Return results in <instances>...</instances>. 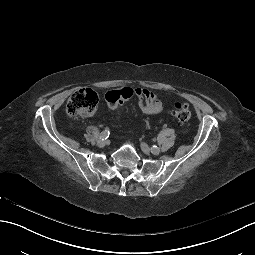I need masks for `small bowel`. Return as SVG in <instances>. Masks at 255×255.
<instances>
[{
  "instance_id": "1",
  "label": "small bowel",
  "mask_w": 255,
  "mask_h": 255,
  "mask_svg": "<svg viewBox=\"0 0 255 255\" xmlns=\"http://www.w3.org/2000/svg\"><path fill=\"white\" fill-rule=\"evenodd\" d=\"M139 98L140 112L144 115L159 114L164 109L163 100L153 91L147 89H136ZM94 114H89L93 116Z\"/></svg>"
}]
</instances>
